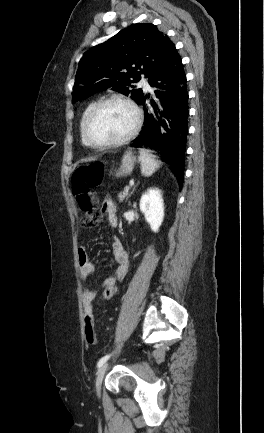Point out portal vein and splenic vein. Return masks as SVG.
<instances>
[{
    "mask_svg": "<svg viewBox=\"0 0 264 433\" xmlns=\"http://www.w3.org/2000/svg\"><path fill=\"white\" fill-rule=\"evenodd\" d=\"M129 189H130V187L126 186V187L124 188V191H125L126 193H128V192H129Z\"/></svg>",
    "mask_w": 264,
    "mask_h": 433,
    "instance_id": "1",
    "label": "portal vein and splenic vein"
}]
</instances>
